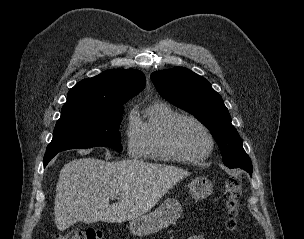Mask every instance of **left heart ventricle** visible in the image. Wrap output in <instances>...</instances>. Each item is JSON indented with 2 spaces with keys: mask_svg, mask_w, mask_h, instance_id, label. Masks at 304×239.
I'll use <instances>...</instances> for the list:
<instances>
[{
  "mask_svg": "<svg viewBox=\"0 0 304 239\" xmlns=\"http://www.w3.org/2000/svg\"><path fill=\"white\" fill-rule=\"evenodd\" d=\"M179 147L188 154L203 153L209 145L205 132L194 122L184 121L176 132Z\"/></svg>",
  "mask_w": 304,
  "mask_h": 239,
  "instance_id": "obj_1",
  "label": "left heart ventricle"
}]
</instances>
